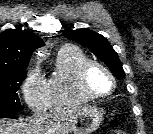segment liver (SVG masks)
<instances>
[{
    "label": "liver",
    "mask_w": 153,
    "mask_h": 134,
    "mask_svg": "<svg viewBox=\"0 0 153 134\" xmlns=\"http://www.w3.org/2000/svg\"><path fill=\"white\" fill-rule=\"evenodd\" d=\"M79 110L71 108L57 111L26 122L0 119V134H68Z\"/></svg>",
    "instance_id": "1"
}]
</instances>
